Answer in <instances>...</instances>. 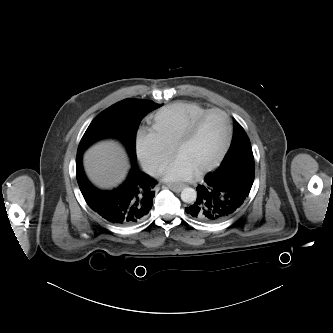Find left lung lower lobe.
I'll return each instance as SVG.
<instances>
[{"instance_id":"obj_1","label":"left lung lower lobe","mask_w":333,"mask_h":333,"mask_svg":"<svg viewBox=\"0 0 333 333\" xmlns=\"http://www.w3.org/2000/svg\"><path fill=\"white\" fill-rule=\"evenodd\" d=\"M255 163L235 162L208 174L197 190V199L185 211L200 222H219L235 213L248 197Z\"/></svg>"}]
</instances>
